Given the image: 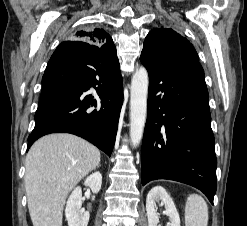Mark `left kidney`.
Masks as SVG:
<instances>
[{"label":"left kidney","instance_id":"1","mask_svg":"<svg viewBox=\"0 0 247 226\" xmlns=\"http://www.w3.org/2000/svg\"><path fill=\"white\" fill-rule=\"evenodd\" d=\"M161 201L165 206L164 213L169 217L167 226H180V217L171 196L161 187H153L146 197V212L149 226H157L159 214L157 213L156 202Z\"/></svg>","mask_w":247,"mask_h":226}]
</instances>
